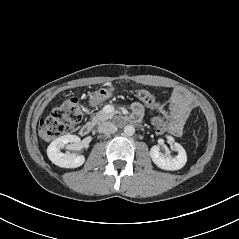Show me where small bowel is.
Listing matches in <instances>:
<instances>
[{
	"label": "small bowel",
	"mask_w": 239,
	"mask_h": 239,
	"mask_svg": "<svg viewBox=\"0 0 239 239\" xmlns=\"http://www.w3.org/2000/svg\"><path fill=\"white\" fill-rule=\"evenodd\" d=\"M192 109V100L188 94L182 91H174L169 102V116L171 118V126L168 133L174 136H180L183 126ZM143 115V106L139 102L132 104L131 118L139 121Z\"/></svg>",
	"instance_id": "1"
}]
</instances>
